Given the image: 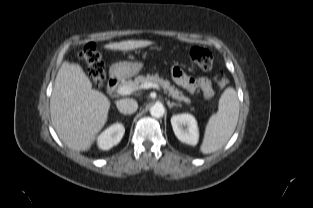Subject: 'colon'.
<instances>
[{"mask_svg": "<svg viewBox=\"0 0 313 208\" xmlns=\"http://www.w3.org/2000/svg\"><path fill=\"white\" fill-rule=\"evenodd\" d=\"M191 60L201 69L209 70L213 64V55L211 51L205 47H192L189 50ZM80 57L87 64L89 74L96 86H101L105 79V65L96 46L92 43L86 45L80 52ZM216 84L223 88L228 83V78L223 73H218L215 78Z\"/></svg>", "mask_w": 313, "mask_h": 208, "instance_id": "colon-1", "label": "colon"}]
</instances>
